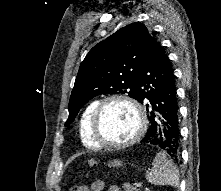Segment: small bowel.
I'll use <instances>...</instances> for the list:
<instances>
[{"instance_id":"c3829d8e","label":"small bowel","mask_w":221,"mask_h":191,"mask_svg":"<svg viewBox=\"0 0 221 191\" xmlns=\"http://www.w3.org/2000/svg\"><path fill=\"white\" fill-rule=\"evenodd\" d=\"M106 187V183L102 180H97L92 183L91 191H104ZM108 191H121V189L117 186H110Z\"/></svg>"}]
</instances>
